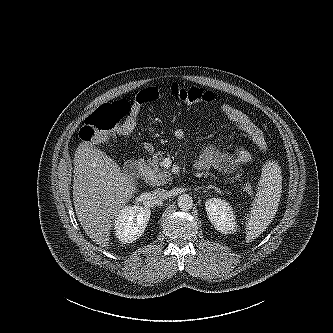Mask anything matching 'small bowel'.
<instances>
[{
    "mask_svg": "<svg viewBox=\"0 0 333 333\" xmlns=\"http://www.w3.org/2000/svg\"><path fill=\"white\" fill-rule=\"evenodd\" d=\"M219 109L245 138L250 140L259 150L266 151L267 142L265 135L246 113L228 103H222ZM186 134L183 128H177L174 131V137L178 140H183ZM251 160L252 155L243 147H238L233 154H229L213 146H207L196 159L195 168L197 170H205L214 167L221 172L232 173L240 165L247 164Z\"/></svg>",
    "mask_w": 333,
    "mask_h": 333,
    "instance_id": "small-bowel-1",
    "label": "small bowel"
}]
</instances>
